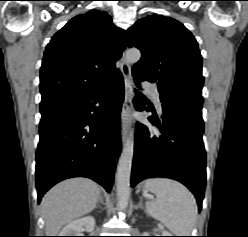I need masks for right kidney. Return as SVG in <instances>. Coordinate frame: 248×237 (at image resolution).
I'll list each match as a JSON object with an SVG mask.
<instances>
[{"instance_id": "1", "label": "right kidney", "mask_w": 248, "mask_h": 237, "mask_svg": "<svg viewBox=\"0 0 248 237\" xmlns=\"http://www.w3.org/2000/svg\"><path fill=\"white\" fill-rule=\"evenodd\" d=\"M95 226V219L93 216H86L77 220H74L67 224L60 232L59 236H81L83 228L87 232H91Z\"/></svg>"}]
</instances>
